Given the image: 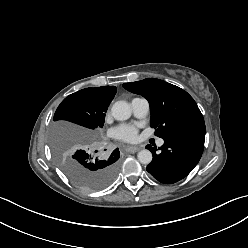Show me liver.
I'll list each match as a JSON object with an SVG mask.
<instances>
[{
    "mask_svg": "<svg viewBox=\"0 0 248 248\" xmlns=\"http://www.w3.org/2000/svg\"><path fill=\"white\" fill-rule=\"evenodd\" d=\"M57 128L60 129L64 134L76 133L82 136L91 137V132L89 130L74 125H70L68 123L58 124Z\"/></svg>",
    "mask_w": 248,
    "mask_h": 248,
    "instance_id": "1",
    "label": "liver"
}]
</instances>
